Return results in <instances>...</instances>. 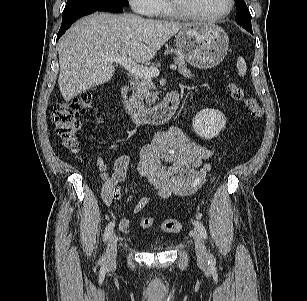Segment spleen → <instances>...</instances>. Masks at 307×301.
Instances as JSON below:
<instances>
[{
  "label": "spleen",
  "instance_id": "3e777b00",
  "mask_svg": "<svg viewBox=\"0 0 307 301\" xmlns=\"http://www.w3.org/2000/svg\"><path fill=\"white\" fill-rule=\"evenodd\" d=\"M237 69H238V73L241 76H244L246 74L247 71V66H246V62L243 59V57H239L237 60Z\"/></svg>",
  "mask_w": 307,
  "mask_h": 301
}]
</instances>
